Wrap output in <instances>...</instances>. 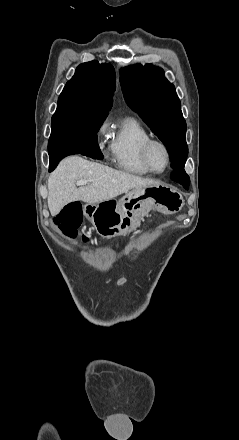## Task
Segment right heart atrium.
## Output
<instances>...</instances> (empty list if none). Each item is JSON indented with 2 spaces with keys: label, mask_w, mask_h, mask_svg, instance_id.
Returning <instances> with one entry per match:
<instances>
[{
  "label": "right heart atrium",
  "mask_w": 239,
  "mask_h": 440,
  "mask_svg": "<svg viewBox=\"0 0 239 440\" xmlns=\"http://www.w3.org/2000/svg\"><path fill=\"white\" fill-rule=\"evenodd\" d=\"M106 129H107V123L104 121L101 122L95 130V142L100 149H102L101 139L104 133L106 132Z\"/></svg>",
  "instance_id": "1"
}]
</instances>
